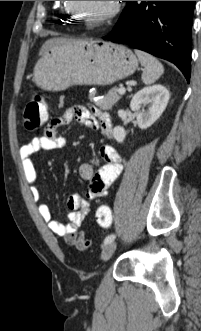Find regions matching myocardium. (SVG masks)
<instances>
[{"mask_svg":"<svg viewBox=\"0 0 201 331\" xmlns=\"http://www.w3.org/2000/svg\"><path fill=\"white\" fill-rule=\"evenodd\" d=\"M66 8L74 13V16L83 21L84 23L88 25H99L104 24L114 18L120 11V2L119 1H111L110 8L100 16L93 18V19H87L80 15L75 8L73 7L72 1H66Z\"/></svg>","mask_w":201,"mask_h":331,"instance_id":"1","label":"myocardium"}]
</instances>
